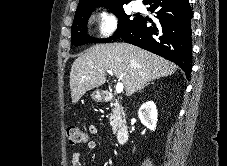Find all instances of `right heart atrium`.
<instances>
[{
	"instance_id": "right-heart-atrium-1",
	"label": "right heart atrium",
	"mask_w": 227,
	"mask_h": 166,
	"mask_svg": "<svg viewBox=\"0 0 227 166\" xmlns=\"http://www.w3.org/2000/svg\"><path fill=\"white\" fill-rule=\"evenodd\" d=\"M93 20L99 37L109 38L115 34L118 21L114 13L108 10H100L94 14Z\"/></svg>"
}]
</instances>
